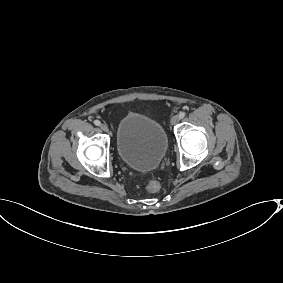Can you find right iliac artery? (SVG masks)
<instances>
[{
    "label": "right iliac artery",
    "mask_w": 283,
    "mask_h": 283,
    "mask_svg": "<svg viewBox=\"0 0 283 283\" xmlns=\"http://www.w3.org/2000/svg\"><path fill=\"white\" fill-rule=\"evenodd\" d=\"M94 124H95L96 126H99V125H101V122H100L99 120H95V121H94Z\"/></svg>",
    "instance_id": "1"
}]
</instances>
